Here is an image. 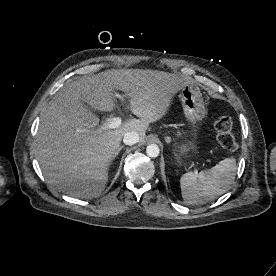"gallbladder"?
Here are the masks:
<instances>
[{"label": "gallbladder", "mask_w": 276, "mask_h": 276, "mask_svg": "<svg viewBox=\"0 0 276 276\" xmlns=\"http://www.w3.org/2000/svg\"><path fill=\"white\" fill-rule=\"evenodd\" d=\"M87 108H89L92 111V109L90 107L87 106Z\"/></svg>", "instance_id": "1"}]
</instances>
